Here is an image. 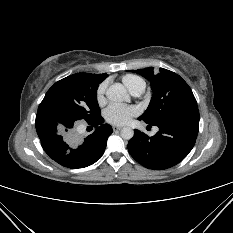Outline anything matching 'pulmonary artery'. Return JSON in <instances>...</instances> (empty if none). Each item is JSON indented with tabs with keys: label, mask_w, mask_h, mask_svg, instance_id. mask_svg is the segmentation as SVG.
I'll list each match as a JSON object with an SVG mask.
<instances>
[{
	"label": "pulmonary artery",
	"mask_w": 233,
	"mask_h": 233,
	"mask_svg": "<svg viewBox=\"0 0 233 233\" xmlns=\"http://www.w3.org/2000/svg\"><path fill=\"white\" fill-rule=\"evenodd\" d=\"M142 92H143V90H136V91L132 92V94L134 96H140L142 94Z\"/></svg>",
	"instance_id": "obj_1"
}]
</instances>
